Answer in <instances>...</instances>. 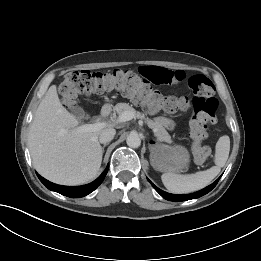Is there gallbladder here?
<instances>
[{
    "instance_id": "bac80fb5",
    "label": "gallbladder",
    "mask_w": 261,
    "mask_h": 261,
    "mask_svg": "<svg viewBox=\"0 0 261 261\" xmlns=\"http://www.w3.org/2000/svg\"><path fill=\"white\" fill-rule=\"evenodd\" d=\"M66 105H68L69 109L77 116V117H82L84 116V111L81 107L79 106H73L71 102L66 101Z\"/></svg>"
}]
</instances>
